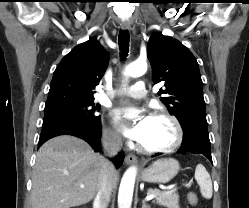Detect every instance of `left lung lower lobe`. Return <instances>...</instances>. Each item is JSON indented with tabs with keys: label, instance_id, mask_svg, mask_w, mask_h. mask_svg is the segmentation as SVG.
I'll return each mask as SVG.
<instances>
[{
	"label": "left lung lower lobe",
	"instance_id": "0a47b994",
	"mask_svg": "<svg viewBox=\"0 0 249 208\" xmlns=\"http://www.w3.org/2000/svg\"><path fill=\"white\" fill-rule=\"evenodd\" d=\"M178 153H200L212 162L207 125L191 124L183 130V142Z\"/></svg>",
	"mask_w": 249,
	"mask_h": 208
}]
</instances>
